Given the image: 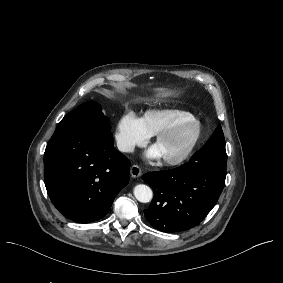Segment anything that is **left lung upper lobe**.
<instances>
[{
    "instance_id": "5c2ea615",
    "label": "left lung upper lobe",
    "mask_w": 283,
    "mask_h": 283,
    "mask_svg": "<svg viewBox=\"0 0 283 283\" xmlns=\"http://www.w3.org/2000/svg\"><path fill=\"white\" fill-rule=\"evenodd\" d=\"M210 142H219L223 145L225 144L224 134L220 126L216 128L215 133L211 136V138L206 143H210Z\"/></svg>"
}]
</instances>
